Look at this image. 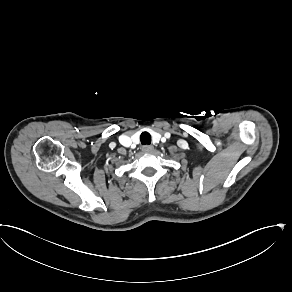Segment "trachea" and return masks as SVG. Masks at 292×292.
I'll return each instance as SVG.
<instances>
[{"instance_id":"trachea-1","label":"trachea","mask_w":292,"mask_h":292,"mask_svg":"<svg viewBox=\"0 0 292 292\" xmlns=\"http://www.w3.org/2000/svg\"><path fill=\"white\" fill-rule=\"evenodd\" d=\"M140 141H141V144L144 146V145H150L151 143V136L148 132H143L141 135H140Z\"/></svg>"}]
</instances>
